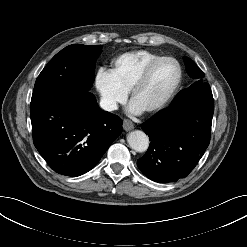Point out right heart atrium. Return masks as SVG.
Listing matches in <instances>:
<instances>
[{
	"label": "right heart atrium",
	"instance_id": "obj_1",
	"mask_svg": "<svg viewBox=\"0 0 247 247\" xmlns=\"http://www.w3.org/2000/svg\"><path fill=\"white\" fill-rule=\"evenodd\" d=\"M94 88L103 108L108 111L115 110L120 103L126 100L128 95V91L117 83L111 71L104 67L99 68L95 73Z\"/></svg>",
	"mask_w": 247,
	"mask_h": 247
}]
</instances>
